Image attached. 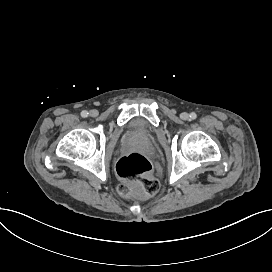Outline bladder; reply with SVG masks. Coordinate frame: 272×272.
I'll return each mask as SVG.
<instances>
[{
	"label": "bladder",
	"mask_w": 272,
	"mask_h": 272,
	"mask_svg": "<svg viewBox=\"0 0 272 272\" xmlns=\"http://www.w3.org/2000/svg\"><path fill=\"white\" fill-rule=\"evenodd\" d=\"M131 130L138 134H145L149 132L150 123L143 117H136L131 121Z\"/></svg>",
	"instance_id": "1"
}]
</instances>
